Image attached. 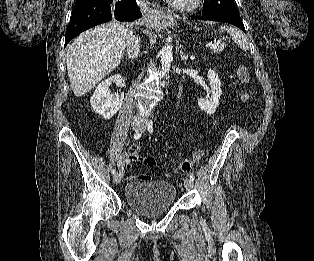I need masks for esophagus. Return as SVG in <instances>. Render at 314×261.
<instances>
[{"label": "esophagus", "mask_w": 314, "mask_h": 261, "mask_svg": "<svg viewBox=\"0 0 314 261\" xmlns=\"http://www.w3.org/2000/svg\"><path fill=\"white\" fill-rule=\"evenodd\" d=\"M152 13H154L155 15L159 16L160 18L163 16V12L159 11V10H152Z\"/></svg>", "instance_id": "34e87169"}]
</instances>
